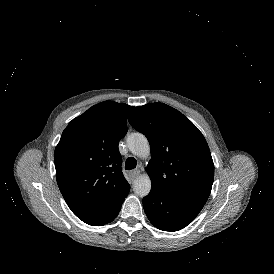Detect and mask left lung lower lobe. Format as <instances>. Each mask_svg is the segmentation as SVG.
I'll return each mask as SVG.
<instances>
[{"label":"left lung lower lobe","mask_w":274,"mask_h":274,"mask_svg":"<svg viewBox=\"0 0 274 274\" xmlns=\"http://www.w3.org/2000/svg\"><path fill=\"white\" fill-rule=\"evenodd\" d=\"M142 201L148 219L164 231L184 228L203 208L200 204L178 199L154 187Z\"/></svg>","instance_id":"0a47b994"}]
</instances>
